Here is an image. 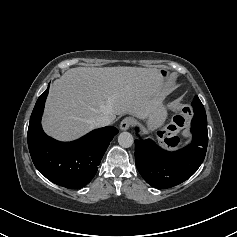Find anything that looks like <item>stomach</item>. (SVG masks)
Here are the masks:
<instances>
[{
	"label": "stomach",
	"mask_w": 237,
	"mask_h": 237,
	"mask_svg": "<svg viewBox=\"0 0 237 237\" xmlns=\"http://www.w3.org/2000/svg\"><path fill=\"white\" fill-rule=\"evenodd\" d=\"M161 78L165 83H168L171 77L170 72L167 69H159L158 70ZM164 95V94H163ZM167 118V110L160 101V103L156 106V108L149 113V115L145 118L146 123L149 130H154L163 125Z\"/></svg>",
	"instance_id": "stomach-1"
}]
</instances>
